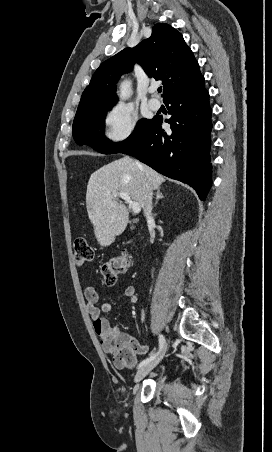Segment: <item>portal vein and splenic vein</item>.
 <instances>
[{
  "label": "portal vein and splenic vein",
  "instance_id": "portal-vein-and-splenic-vein-1",
  "mask_svg": "<svg viewBox=\"0 0 272 452\" xmlns=\"http://www.w3.org/2000/svg\"><path fill=\"white\" fill-rule=\"evenodd\" d=\"M118 195L121 199H123L129 207L132 209L133 213H139L141 211V207L138 203L134 202L130 196L125 192H118L115 196Z\"/></svg>",
  "mask_w": 272,
  "mask_h": 452
}]
</instances>
